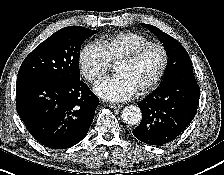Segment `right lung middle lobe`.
Returning a JSON list of instances; mask_svg holds the SVG:
<instances>
[{
    "label": "right lung middle lobe",
    "instance_id": "right-lung-middle-lobe-1",
    "mask_svg": "<svg viewBox=\"0 0 224 175\" xmlns=\"http://www.w3.org/2000/svg\"><path fill=\"white\" fill-rule=\"evenodd\" d=\"M97 31L81 26L58 30L23 61L18 77L39 76L59 81L80 80L79 57L83 42Z\"/></svg>",
    "mask_w": 224,
    "mask_h": 175
}]
</instances>
